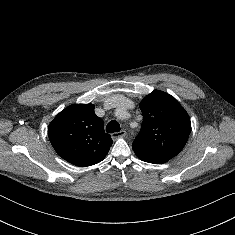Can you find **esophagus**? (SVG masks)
I'll return each instance as SVG.
<instances>
[{"instance_id":"34e87169","label":"esophagus","mask_w":235,"mask_h":235,"mask_svg":"<svg viewBox=\"0 0 235 235\" xmlns=\"http://www.w3.org/2000/svg\"><path fill=\"white\" fill-rule=\"evenodd\" d=\"M126 131L125 130H121L119 132H114L112 133V139L113 140H116L118 138H121V137H125L126 136Z\"/></svg>"}]
</instances>
